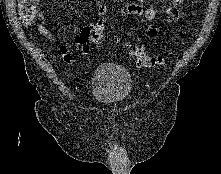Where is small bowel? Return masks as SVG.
I'll use <instances>...</instances> for the list:
<instances>
[{
    "label": "small bowel",
    "mask_w": 221,
    "mask_h": 174,
    "mask_svg": "<svg viewBox=\"0 0 221 174\" xmlns=\"http://www.w3.org/2000/svg\"><path fill=\"white\" fill-rule=\"evenodd\" d=\"M156 1H167L172 4V7L167 9V22H174L178 19V11L175 6L183 3L185 0H156ZM107 6L103 2H99L97 4V16L98 18H103L106 14ZM118 11L124 15L129 16H138L143 17L147 24L145 26L144 32L148 38H155L158 33V27L155 24L158 18V11L154 8H147L145 9L141 2H132V3H125L118 6ZM40 20L42 21L41 24L38 25L39 32L48 38L50 41L55 42L58 44L59 51L66 63H72L74 61L73 56L69 53V49L66 43L62 42L60 38L55 36L49 28L44 24V19L41 15H39ZM84 27L85 28H88ZM82 29V30H83ZM80 34H77L74 38V42L77 47H79L80 54L86 55L88 52L84 50L85 43L80 39Z\"/></svg>",
    "instance_id": "small-bowel-1"
}]
</instances>
